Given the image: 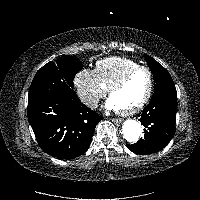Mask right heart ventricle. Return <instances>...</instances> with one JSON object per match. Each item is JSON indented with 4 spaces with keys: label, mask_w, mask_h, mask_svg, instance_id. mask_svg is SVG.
Listing matches in <instances>:
<instances>
[{
    "label": "right heart ventricle",
    "mask_w": 200,
    "mask_h": 200,
    "mask_svg": "<svg viewBox=\"0 0 200 200\" xmlns=\"http://www.w3.org/2000/svg\"><path fill=\"white\" fill-rule=\"evenodd\" d=\"M139 66V64L127 57L113 56L96 63L95 73L105 88H109L126 72Z\"/></svg>",
    "instance_id": "obj_1"
}]
</instances>
